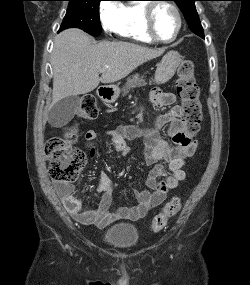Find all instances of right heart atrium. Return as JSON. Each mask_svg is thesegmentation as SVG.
<instances>
[{
	"label": "right heart atrium",
	"mask_w": 250,
	"mask_h": 285,
	"mask_svg": "<svg viewBox=\"0 0 250 285\" xmlns=\"http://www.w3.org/2000/svg\"><path fill=\"white\" fill-rule=\"evenodd\" d=\"M99 16L106 32L118 33L122 22L123 4L117 0L103 1L99 7Z\"/></svg>",
	"instance_id": "d8ad5b80"
}]
</instances>
